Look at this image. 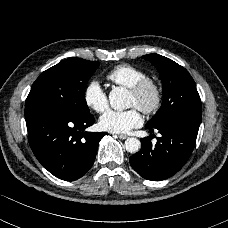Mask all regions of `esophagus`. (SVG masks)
I'll return each mask as SVG.
<instances>
[{
	"label": "esophagus",
	"mask_w": 228,
	"mask_h": 228,
	"mask_svg": "<svg viewBox=\"0 0 228 228\" xmlns=\"http://www.w3.org/2000/svg\"><path fill=\"white\" fill-rule=\"evenodd\" d=\"M128 136L125 135V134H121V135H118V138L121 139V140H124L126 139Z\"/></svg>",
	"instance_id": "obj_1"
}]
</instances>
